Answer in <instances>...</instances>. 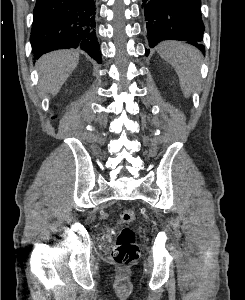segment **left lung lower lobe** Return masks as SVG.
<instances>
[{"label":"left lung lower lobe","instance_id":"1","mask_svg":"<svg viewBox=\"0 0 245 300\" xmlns=\"http://www.w3.org/2000/svg\"><path fill=\"white\" fill-rule=\"evenodd\" d=\"M149 46L162 40H189L203 53L204 24L201 19L200 0H142ZM149 50L146 49V56Z\"/></svg>","mask_w":245,"mask_h":300}]
</instances>
